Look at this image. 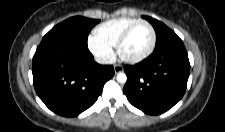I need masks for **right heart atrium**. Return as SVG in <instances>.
<instances>
[{"label": "right heart atrium", "mask_w": 225, "mask_h": 132, "mask_svg": "<svg viewBox=\"0 0 225 132\" xmlns=\"http://www.w3.org/2000/svg\"><path fill=\"white\" fill-rule=\"evenodd\" d=\"M88 47L100 62L110 63L113 61L115 56L113 48L98 40L95 36L89 37Z\"/></svg>", "instance_id": "right-heart-atrium-1"}]
</instances>
